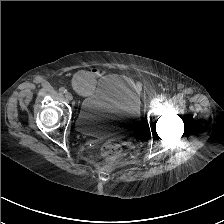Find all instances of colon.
I'll use <instances>...</instances> for the list:
<instances>
[{
  "label": "colon",
  "instance_id": "colon-1",
  "mask_svg": "<svg viewBox=\"0 0 224 224\" xmlns=\"http://www.w3.org/2000/svg\"><path fill=\"white\" fill-rule=\"evenodd\" d=\"M96 75L93 72L82 71L76 75L73 80L74 89L82 94H89L95 88ZM102 153L109 158L118 157L121 153L120 145L116 143H105L102 147Z\"/></svg>",
  "mask_w": 224,
  "mask_h": 224
}]
</instances>
